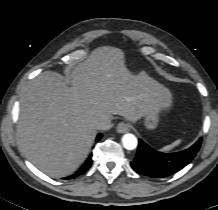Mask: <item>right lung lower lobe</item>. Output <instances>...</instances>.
Masks as SVG:
<instances>
[{"instance_id":"1","label":"right lung lower lobe","mask_w":218,"mask_h":210,"mask_svg":"<svg viewBox=\"0 0 218 210\" xmlns=\"http://www.w3.org/2000/svg\"><path fill=\"white\" fill-rule=\"evenodd\" d=\"M102 137V134H98L96 141H99ZM92 164V159H91V155L89 156V158L85 161V163L79 168L78 171L75 172L74 175H71L69 177H67L66 179H70V178H75L79 175H82L83 173H85L91 166Z\"/></svg>"}]
</instances>
